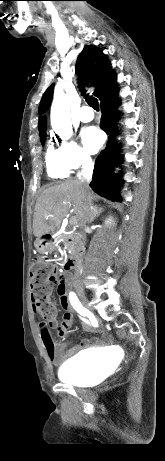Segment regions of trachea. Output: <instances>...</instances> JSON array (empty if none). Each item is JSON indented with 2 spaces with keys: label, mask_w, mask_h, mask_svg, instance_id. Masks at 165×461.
I'll return each mask as SVG.
<instances>
[{
  "label": "trachea",
  "mask_w": 165,
  "mask_h": 461,
  "mask_svg": "<svg viewBox=\"0 0 165 461\" xmlns=\"http://www.w3.org/2000/svg\"><path fill=\"white\" fill-rule=\"evenodd\" d=\"M80 90L82 92V94L84 95V97L86 98V101L87 103L95 110H98L99 107H98V100L92 96H89L88 94H86V90L84 89V86H80Z\"/></svg>",
  "instance_id": "3493384b"
}]
</instances>
